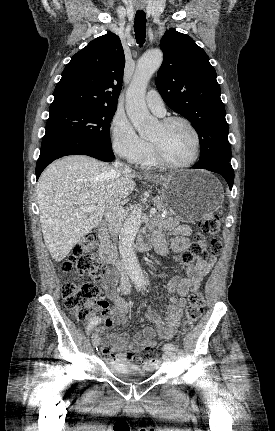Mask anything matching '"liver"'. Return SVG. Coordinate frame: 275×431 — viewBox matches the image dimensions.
<instances>
[{
  "mask_svg": "<svg viewBox=\"0 0 275 431\" xmlns=\"http://www.w3.org/2000/svg\"><path fill=\"white\" fill-rule=\"evenodd\" d=\"M135 174L121 171L85 155H72L52 163L37 183V203L45 245L60 262L102 220L115 199L135 188ZM96 205L88 214L83 206Z\"/></svg>",
  "mask_w": 275,
  "mask_h": 431,
  "instance_id": "liver-1",
  "label": "liver"
}]
</instances>
